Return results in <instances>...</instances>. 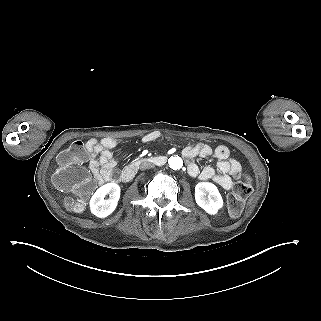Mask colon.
Returning <instances> with one entry per match:
<instances>
[{
  "label": "colon",
  "mask_w": 321,
  "mask_h": 321,
  "mask_svg": "<svg viewBox=\"0 0 321 321\" xmlns=\"http://www.w3.org/2000/svg\"><path fill=\"white\" fill-rule=\"evenodd\" d=\"M88 154L85 145L76 141L57 156V169L53 181L57 187L69 190L72 195L66 199V207L72 212H82L94 187L89 174L81 167ZM239 182L228 198L229 212L232 216L242 213L245 201L253 188L248 176L240 171L235 173Z\"/></svg>",
  "instance_id": "5ec220e1"
}]
</instances>
